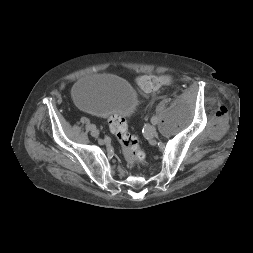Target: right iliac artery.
I'll use <instances>...</instances> for the list:
<instances>
[{"instance_id": "right-iliac-artery-1", "label": "right iliac artery", "mask_w": 253, "mask_h": 253, "mask_svg": "<svg viewBox=\"0 0 253 253\" xmlns=\"http://www.w3.org/2000/svg\"><path fill=\"white\" fill-rule=\"evenodd\" d=\"M88 128H89L90 130H92V129L96 128V126L93 125V124H88Z\"/></svg>"}]
</instances>
